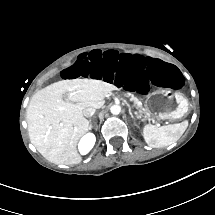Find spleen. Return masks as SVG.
<instances>
[{"label":"spleen","instance_id":"1","mask_svg":"<svg viewBox=\"0 0 215 215\" xmlns=\"http://www.w3.org/2000/svg\"><path fill=\"white\" fill-rule=\"evenodd\" d=\"M185 122L161 127L147 124L143 129V137L150 147L159 148L168 146L180 138L179 131Z\"/></svg>","mask_w":215,"mask_h":215}]
</instances>
